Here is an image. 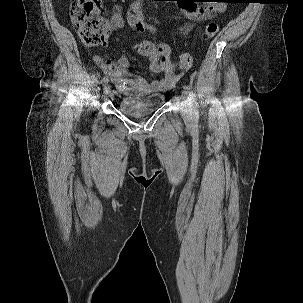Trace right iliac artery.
Returning a JSON list of instances; mask_svg holds the SVG:
<instances>
[{
    "mask_svg": "<svg viewBox=\"0 0 303 303\" xmlns=\"http://www.w3.org/2000/svg\"><path fill=\"white\" fill-rule=\"evenodd\" d=\"M108 77L104 76L102 79H101V84L104 86L106 83H108Z\"/></svg>",
    "mask_w": 303,
    "mask_h": 303,
    "instance_id": "1",
    "label": "right iliac artery"
}]
</instances>
